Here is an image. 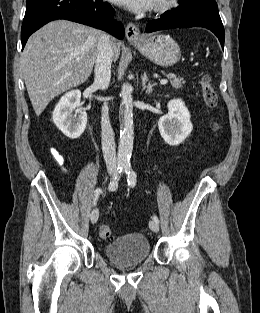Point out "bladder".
Instances as JSON below:
<instances>
[{
	"mask_svg": "<svg viewBox=\"0 0 260 313\" xmlns=\"http://www.w3.org/2000/svg\"><path fill=\"white\" fill-rule=\"evenodd\" d=\"M104 254L116 266H136L150 256V243L144 234H128L108 243L104 247Z\"/></svg>",
	"mask_w": 260,
	"mask_h": 313,
	"instance_id": "bladder-1",
	"label": "bladder"
}]
</instances>
